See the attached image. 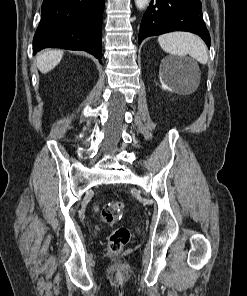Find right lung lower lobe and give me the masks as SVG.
<instances>
[{
  "instance_id": "98d812e1",
  "label": "right lung lower lobe",
  "mask_w": 247,
  "mask_h": 296,
  "mask_svg": "<svg viewBox=\"0 0 247 296\" xmlns=\"http://www.w3.org/2000/svg\"><path fill=\"white\" fill-rule=\"evenodd\" d=\"M104 0H44L33 38V53L59 47L83 50L102 58Z\"/></svg>"
}]
</instances>
